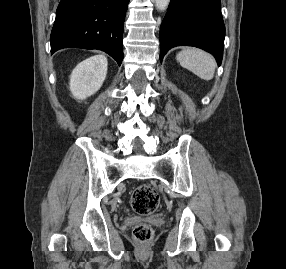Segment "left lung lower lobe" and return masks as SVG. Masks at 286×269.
Wrapping results in <instances>:
<instances>
[{
    "instance_id": "1",
    "label": "left lung lower lobe",
    "mask_w": 286,
    "mask_h": 269,
    "mask_svg": "<svg viewBox=\"0 0 286 269\" xmlns=\"http://www.w3.org/2000/svg\"><path fill=\"white\" fill-rule=\"evenodd\" d=\"M225 26L220 0H171L160 27V60L175 46H195L221 64Z\"/></svg>"
}]
</instances>
